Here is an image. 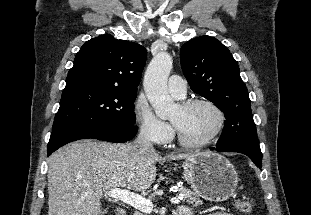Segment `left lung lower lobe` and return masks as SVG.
<instances>
[{
	"instance_id": "0a47b994",
	"label": "left lung lower lobe",
	"mask_w": 311,
	"mask_h": 215,
	"mask_svg": "<svg viewBox=\"0 0 311 215\" xmlns=\"http://www.w3.org/2000/svg\"><path fill=\"white\" fill-rule=\"evenodd\" d=\"M215 148H211L214 150ZM216 151L219 152H239L243 153L251 158L257 167H262V153L260 147L256 143L246 141H233L216 145Z\"/></svg>"
}]
</instances>
